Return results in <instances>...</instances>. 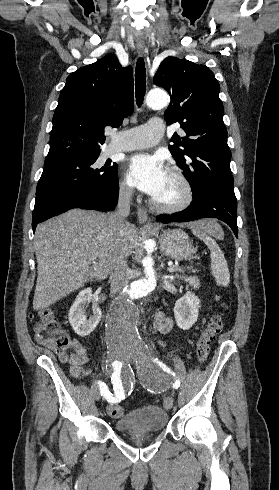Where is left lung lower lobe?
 <instances>
[{
  "instance_id": "1",
  "label": "left lung lower lobe",
  "mask_w": 279,
  "mask_h": 490,
  "mask_svg": "<svg viewBox=\"0 0 279 490\" xmlns=\"http://www.w3.org/2000/svg\"><path fill=\"white\" fill-rule=\"evenodd\" d=\"M237 200L234 188L230 189L216 184L203 185L193 194L191 206L185 210L172 214L160 215L157 221L189 222L201 218H217L227 223L238 238L237 228Z\"/></svg>"
}]
</instances>
